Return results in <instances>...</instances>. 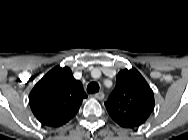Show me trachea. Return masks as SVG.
Listing matches in <instances>:
<instances>
[{
    "label": "trachea",
    "mask_w": 188,
    "mask_h": 140,
    "mask_svg": "<svg viewBox=\"0 0 188 140\" xmlns=\"http://www.w3.org/2000/svg\"><path fill=\"white\" fill-rule=\"evenodd\" d=\"M99 91V85L96 82H91L88 84L87 86V92L92 94V93H96Z\"/></svg>",
    "instance_id": "obj_1"
}]
</instances>
